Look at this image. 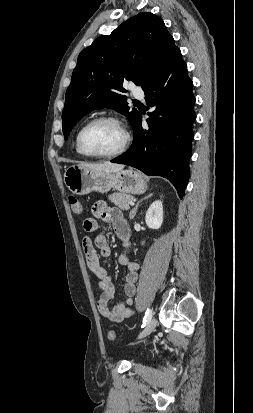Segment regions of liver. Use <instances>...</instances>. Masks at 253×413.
I'll use <instances>...</instances> for the list:
<instances>
[{"instance_id": "liver-1", "label": "liver", "mask_w": 253, "mask_h": 413, "mask_svg": "<svg viewBox=\"0 0 253 413\" xmlns=\"http://www.w3.org/2000/svg\"><path fill=\"white\" fill-rule=\"evenodd\" d=\"M80 167L99 172H117L124 168L123 164L103 162V163H80Z\"/></svg>"}]
</instances>
